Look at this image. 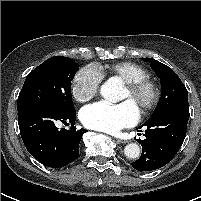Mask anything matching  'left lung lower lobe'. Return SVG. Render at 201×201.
I'll use <instances>...</instances> for the list:
<instances>
[{
  "mask_svg": "<svg viewBox=\"0 0 201 201\" xmlns=\"http://www.w3.org/2000/svg\"><path fill=\"white\" fill-rule=\"evenodd\" d=\"M188 119L189 108H174L145 122L146 138L138 140L142 154L131 165L138 171H152L170 162L185 139Z\"/></svg>",
  "mask_w": 201,
  "mask_h": 201,
  "instance_id": "0a47b994",
  "label": "left lung lower lobe"
}]
</instances>
